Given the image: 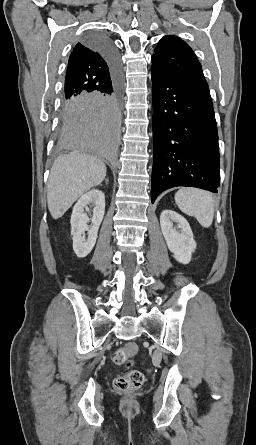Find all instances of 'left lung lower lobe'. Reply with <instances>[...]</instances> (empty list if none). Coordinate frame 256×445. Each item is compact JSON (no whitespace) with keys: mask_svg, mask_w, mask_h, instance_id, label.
Returning <instances> with one entry per match:
<instances>
[{"mask_svg":"<svg viewBox=\"0 0 256 445\" xmlns=\"http://www.w3.org/2000/svg\"><path fill=\"white\" fill-rule=\"evenodd\" d=\"M153 83L152 203L162 191L190 186L216 193L218 133L208 86L151 67Z\"/></svg>","mask_w":256,"mask_h":445,"instance_id":"1","label":"left lung lower lobe"}]
</instances>
